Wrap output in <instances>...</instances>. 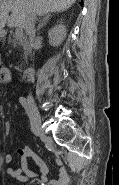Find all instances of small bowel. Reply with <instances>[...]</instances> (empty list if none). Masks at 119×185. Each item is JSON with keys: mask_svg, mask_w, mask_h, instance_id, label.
<instances>
[{"mask_svg": "<svg viewBox=\"0 0 119 185\" xmlns=\"http://www.w3.org/2000/svg\"><path fill=\"white\" fill-rule=\"evenodd\" d=\"M12 81V74L9 68L3 66L0 68V82L3 84L9 83ZM11 132V123L9 121L3 122V134L9 135ZM17 153L20 156V167L13 168L10 166L12 161V155L10 153H6L4 155V161L7 164L5 169L6 174L9 176L26 182L31 179L38 177V172L41 174V180L43 183L47 185H69V174L66 168L63 165L61 159H57L56 165L59 166L58 173L53 178H48L49 168L44 162V160L34 153L29 146H22L17 149ZM31 158L35 164L37 165V170H34L30 167L28 159Z\"/></svg>", "mask_w": 119, "mask_h": 185, "instance_id": "1", "label": "small bowel"}]
</instances>
